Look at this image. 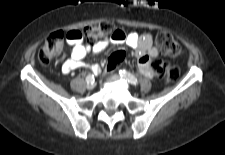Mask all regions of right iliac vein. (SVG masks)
Wrapping results in <instances>:
<instances>
[{
  "label": "right iliac vein",
  "instance_id": "right-iliac-vein-1",
  "mask_svg": "<svg viewBox=\"0 0 225 155\" xmlns=\"http://www.w3.org/2000/svg\"><path fill=\"white\" fill-rule=\"evenodd\" d=\"M94 86H95L94 82H88L86 85L87 89H89V90H92L94 88Z\"/></svg>",
  "mask_w": 225,
  "mask_h": 155
}]
</instances>
